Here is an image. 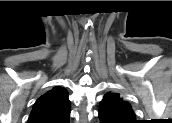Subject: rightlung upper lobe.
<instances>
[{
	"label": "right lung upper lobe",
	"mask_w": 172,
	"mask_h": 123,
	"mask_svg": "<svg viewBox=\"0 0 172 123\" xmlns=\"http://www.w3.org/2000/svg\"><path fill=\"white\" fill-rule=\"evenodd\" d=\"M69 116L68 92L54 87L35 102L28 123H69Z\"/></svg>",
	"instance_id": "cb5924a9"
}]
</instances>
